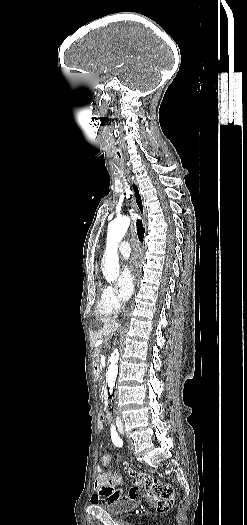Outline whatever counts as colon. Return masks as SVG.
<instances>
[{"label":"colon","mask_w":247,"mask_h":525,"mask_svg":"<svg viewBox=\"0 0 247 525\" xmlns=\"http://www.w3.org/2000/svg\"><path fill=\"white\" fill-rule=\"evenodd\" d=\"M96 425L98 426V430H99L100 432H103V431L105 430V427H104V425H105V420H104L103 418H98V419L96 420Z\"/></svg>","instance_id":"colon-1"}]
</instances>
